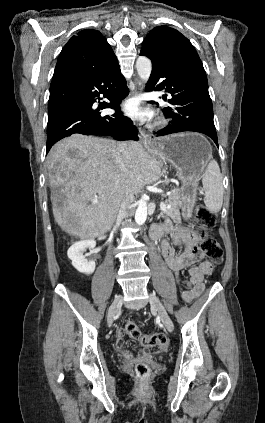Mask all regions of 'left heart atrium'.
I'll use <instances>...</instances> for the list:
<instances>
[{"label": "left heart atrium", "instance_id": "1", "mask_svg": "<svg viewBox=\"0 0 265 423\" xmlns=\"http://www.w3.org/2000/svg\"><path fill=\"white\" fill-rule=\"evenodd\" d=\"M124 111L131 117L136 119H147L151 116L150 112L140 108L137 101H129L124 105Z\"/></svg>", "mask_w": 265, "mask_h": 423}]
</instances>
